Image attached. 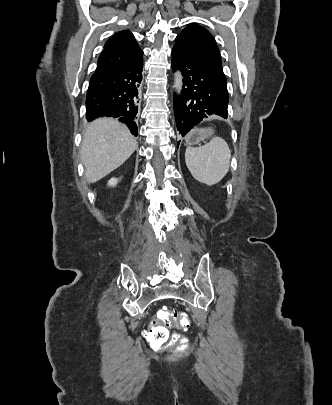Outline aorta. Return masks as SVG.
Returning <instances> with one entry per match:
<instances>
[{"label": "aorta", "mask_w": 332, "mask_h": 405, "mask_svg": "<svg viewBox=\"0 0 332 405\" xmlns=\"http://www.w3.org/2000/svg\"><path fill=\"white\" fill-rule=\"evenodd\" d=\"M183 87V77L179 70H177L174 74V88L178 95L181 94Z\"/></svg>", "instance_id": "obj_1"}]
</instances>
